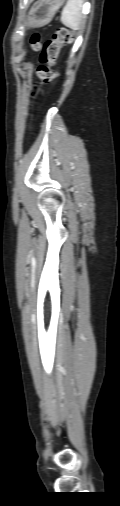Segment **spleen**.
I'll list each match as a JSON object with an SVG mask.
<instances>
[{
    "mask_svg": "<svg viewBox=\"0 0 120 506\" xmlns=\"http://www.w3.org/2000/svg\"><path fill=\"white\" fill-rule=\"evenodd\" d=\"M83 0H68L61 13V22L66 27L78 30L81 25Z\"/></svg>",
    "mask_w": 120,
    "mask_h": 506,
    "instance_id": "obj_1",
    "label": "spleen"
}]
</instances>
